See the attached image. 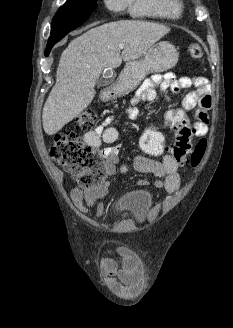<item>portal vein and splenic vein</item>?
<instances>
[{
    "mask_svg": "<svg viewBox=\"0 0 233 328\" xmlns=\"http://www.w3.org/2000/svg\"><path fill=\"white\" fill-rule=\"evenodd\" d=\"M118 48L119 49H123L124 48V44H119Z\"/></svg>",
    "mask_w": 233,
    "mask_h": 328,
    "instance_id": "1",
    "label": "portal vein and splenic vein"
}]
</instances>
